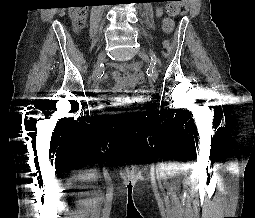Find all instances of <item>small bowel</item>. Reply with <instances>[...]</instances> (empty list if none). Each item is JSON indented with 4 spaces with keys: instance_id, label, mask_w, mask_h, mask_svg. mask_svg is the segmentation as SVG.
<instances>
[{
    "instance_id": "c3829d8e",
    "label": "small bowel",
    "mask_w": 255,
    "mask_h": 218,
    "mask_svg": "<svg viewBox=\"0 0 255 218\" xmlns=\"http://www.w3.org/2000/svg\"><path fill=\"white\" fill-rule=\"evenodd\" d=\"M157 14L160 16L162 11L158 9ZM110 66L114 68L112 77L116 82V85L113 88L115 92L130 91L143 80L141 66L138 63L131 65L124 63L110 64ZM129 71H131V73H129ZM101 100L106 101L104 97H102Z\"/></svg>"
}]
</instances>
